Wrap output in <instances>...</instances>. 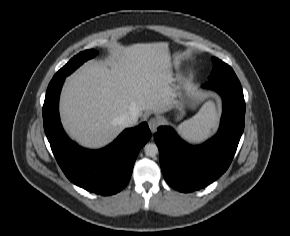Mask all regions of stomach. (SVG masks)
Wrapping results in <instances>:
<instances>
[{
  "mask_svg": "<svg viewBox=\"0 0 290 236\" xmlns=\"http://www.w3.org/2000/svg\"><path fill=\"white\" fill-rule=\"evenodd\" d=\"M169 86L172 91V102L170 104V109L175 111V116L181 118L185 115V109L188 105V100L183 92V86L179 79L170 77Z\"/></svg>",
  "mask_w": 290,
  "mask_h": 236,
  "instance_id": "0dacf381",
  "label": "stomach"
}]
</instances>
